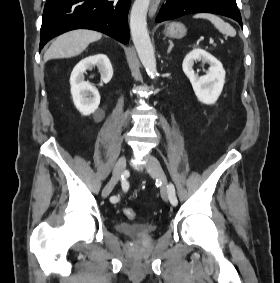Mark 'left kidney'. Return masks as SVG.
<instances>
[{"label":"left kidney","mask_w":280,"mask_h":283,"mask_svg":"<svg viewBox=\"0 0 280 283\" xmlns=\"http://www.w3.org/2000/svg\"><path fill=\"white\" fill-rule=\"evenodd\" d=\"M196 60H202V62L210 64L205 75L198 76L195 74L193 66ZM182 69L189 78L198 100L204 104H214L219 98L225 83L226 73L221 62L205 50L196 48L185 56Z\"/></svg>","instance_id":"1"}]
</instances>
